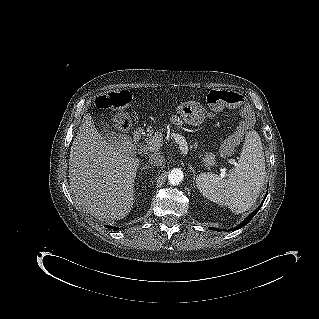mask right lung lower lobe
<instances>
[{"instance_id":"right-lung-lower-lobe-1","label":"right lung lower lobe","mask_w":319,"mask_h":319,"mask_svg":"<svg viewBox=\"0 0 319 319\" xmlns=\"http://www.w3.org/2000/svg\"><path fill=\"white\" fill-rule=\"evenodd\" d=\"M106 227L109 228V229H110V228L116 229V227H111V226H106Z\"/></svg>"}]
</instances>
